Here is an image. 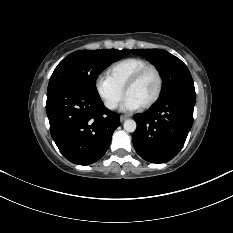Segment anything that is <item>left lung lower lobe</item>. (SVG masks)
Instances as JSON below:
<instances>
[{"mask_svg":"<svg viewBox=\"0 0 233 233\" xmlns=\"http://www.w3.org/2000/svg\"><path fill=\"white\" fill-rule=\"evenodd\" d=\"M195 95L177 93L160 99L150 110L134 115L135 150L144 160L165 163L183 147L193 123Z\"/></svg>","mask_w":233,"mask_h":233,"instance_id":"0a47b994","label":"left lung lower lobe"}]
</instances>
